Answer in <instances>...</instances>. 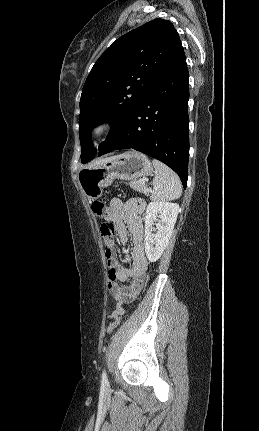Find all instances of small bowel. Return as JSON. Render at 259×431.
I'll return each instance as SVG.
<instances>
[{"mask_svg": "<svg viewBox=\"0 0 259 431\" xmlns=\"http://www.w3.org/2000/svg\"><path fill=\"white\" fill-rule=\"evenodd\" d=\"M144 201L131 199L123 202L118 198L111 200L105 213V219L113 222L117 228L118 238L126 244L128 238L132 240L130 250L131 265H122L117 258L116 243L113 239L105 242V256L109 269V292L115 303L110 318L124 313V305L134 301L141 293L148 269V260L145 255L143 239L142 211ZM128 282L126 285L122 283Z\"/></svg>", "mask_w": 259, "mask_h": 431, "instance_id": "small-bowel-1", "label": "small bowel"}]
</instances>
